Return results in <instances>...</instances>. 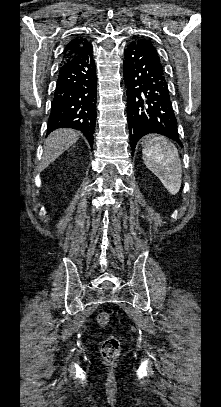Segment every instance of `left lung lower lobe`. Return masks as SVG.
Returning <instances> with one entry per match:
<instances>
[{
    "instance_id": "0a47b994",
    "label": "left lung lower lobe",
    "mask_w": 221,
    "mask_h": 407,
    "mask_svg": "<svg viewBox=\"0 0 221 407\" xmlns=\"http://www.w3.org/2000/svg\"><path fill=\"white\" fill-rule=\"evenodd\" d=\"M124 54L127 118L133 153L138 140L148 133L164 135L182 145L166 73L152 46L136 40L127 46Z\"/></svg>"
}]
</instances>
